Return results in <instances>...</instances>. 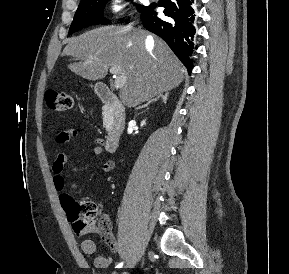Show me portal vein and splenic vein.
I'll return each instance as SVG.
<instances>
[{"instance_id": "obj_1", "label": "portal vein and splenic vein", "mask_w": 289, "mask_h": 274, "mask_svg": "<svg viewBox=\"0 0 289 274\" xmlns=\"http://www.w3.org/2000/svg\"><path fill=\"white\" fill-rule=\"evenodd\" d=\"M120 72H121V69L119 66H111L110 67V73L115 76L114 85H115L116 89L122 88L126 82V77L124 75H122Z\"/></svg>"}]
</instances>
